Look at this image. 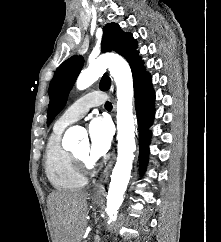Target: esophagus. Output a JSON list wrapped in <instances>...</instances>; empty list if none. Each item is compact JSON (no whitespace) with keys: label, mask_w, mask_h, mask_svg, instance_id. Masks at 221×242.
Instances as JSON below:
<instances>
[{"label":"esophagus","mask_w":221,"mask_h":242,"mask_svg":"<svg viewBox=\"0 0 221 242\" xmlns=\"http://www.w3.org/2000/svg\"><path fill=\"white\" fill-rule=\"evenodd\" d=\"M116 159V155L113 152L112 153V157L110 159V161L108 162V164L106 165L101 177L99 178L98 182L96 183V185L93 187L92 191H91V196L98 198V197H102L103 193H104V186L108 181L111 169L113 167V164L115 162Z\"/></svg>","instance_id":"esophagus-1"}]
</instances>
